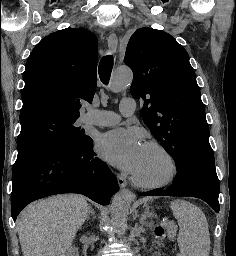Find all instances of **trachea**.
Listing matches in <instances>:
<instances>
[{
	"label": "trachea",
	"instance_id": "1",
	"mask_svg": "<svg viewBox=\"0 0 236 256\" xmlns=\"http://www.w3.org/2000/svg\"><path fill=\"white\" fill-rule=\"evenodd\" d=\"M113 67V57L111 55L104 56L98 67V73L102 83L107 85L110 80V75Z\"/></svg>",
	"mask_w": 236,
	"mask_h": 256
}]
</instances>
